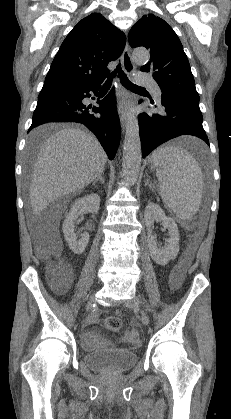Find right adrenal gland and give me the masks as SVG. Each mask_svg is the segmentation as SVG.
<instances>
[{
	"instance_id": "2a0ac1e0",
	"label": "right adrenal gland",
	"mask_w": 231,
	"mask_h": 419,
	"mask_svg": "<svg viewBox=\"0 0 231 419\" xmlns=\"http://www.w3.org/2000/svg\"><path fill=\"white\" fill-rule=\"evenodd\" d=\"M98 181H101L104 184L103 172H101L98 177L93 181L92 185H95Z\"/></svg>"
}]
</instances>
